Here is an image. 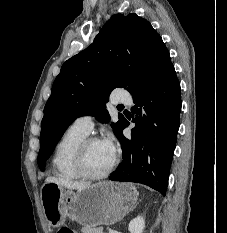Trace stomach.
Segmentation results:
<instances>
[{"instance_id": "1", "label": "stomach", "mask_w": 227, "mask_h": 233, "mask_svg": "<svg viewBox=\"0 0 227 233\" xmlns=\"http://www.w3.org/2000/svg\"><path fill=\"white\" fill-rule=\"evenodd\" d=\"M137 198L129 183L105 181L76 192L54 183L41 188L44 215L52 227L63 226L66 218L91 227L112 225L135 208Z\"/></svg>"}]
</instances>
